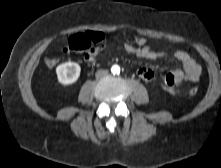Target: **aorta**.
<instances>
[{"mask_svg":"<svg viewBox=\"0 0 221 168\" xmlns=\"http://www.w3.org/2000/svg\"><path fill=\"white\" fill-rule=\"evenodd\" d=\"M111 72L113 74H119L120 73V67L118 65H113L111 68Z\"/></svg>","mask_w":221,"mask_h":168,"instance_id":"aorta-1","label":"aorta"}]
</instances>
